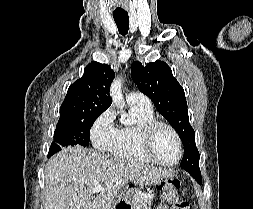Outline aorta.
<instances>
[{"mask_svg": "<svg viewBox=\"0 0 253 209\" xmlns=\"http://www.w3.org/2000/svg\"><path fill=\"white\" fill-rule=\"evenodd\" d=\"M110 96L117 107H120V108L123 107L124 100H123V95H122V78L121 77L116 78L112 82L111 87H110ZM121 122L127 123L128 121L121 119Z\"/></svg>", "mask_w": 253, "mask_h": 209, "instance_id": "aorta-1", "label": "aorta"}]
</instances>
